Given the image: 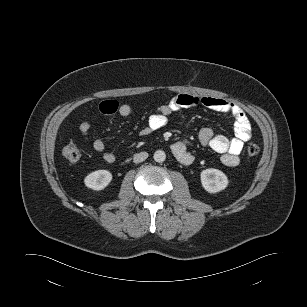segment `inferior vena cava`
<instances>
[{
    "mask_svg": "<svg viewBox=\"0 0 307 307\" xmlns=\"http://www.w3.org/2000/svg\"><path fill=\"white\" fill-rule=\"evenodd\" d=\"M148 158V153L147 152H140L134 155L133 157V162L134 163H141L144 160Z\"/></svg>",
    "mask_w": 307,
    "mask_h": 307,
    "instance_id": "inferior-vena-cava-1",
    "label": "inferior vena cava"
}]
</instances>
